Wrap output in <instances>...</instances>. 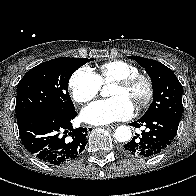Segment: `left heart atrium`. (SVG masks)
I'll return each instance as SVG.
<instances>
[{"instance_id":"39dd6f15","label":"left heart atrium","mask_w":196,"mask_h":196,"mask_svg":"<svg viewBox=\"0 0 196 196\" xmlns=\"http://www.w3.org/2000/svg\"><path fill=\"white\" fill-rule=\"evenodd\" d=\"M133 104L124 97H112L92 103L82 110V119L93 125H106L130 118Z\"/></svg>"}]
</instances>
